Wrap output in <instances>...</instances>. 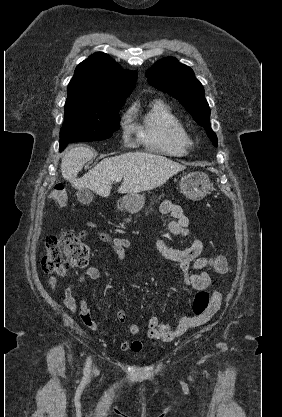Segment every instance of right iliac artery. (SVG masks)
<instances>
[{"instance_id":"82829eb1","label":"right iliac artery","mask_w":282,"mask_h":417,"mask_svg":"<svg viewBox=\"0 0 282 417\" xmlns=\"http://www.w3.org/2000/svg\"><path fill=\"white\" fill-rule=\"evenodd\" d=\"M91 364H92L91 357H88L86 364H85V368H84L85 375H88L90 373Z\"/></svg>"}]
</instances>
